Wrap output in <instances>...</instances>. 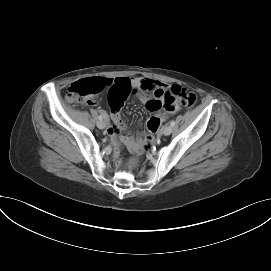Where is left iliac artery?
<instances>
[{"label":"left iliac artery","instance_id":"left-iliac-artery-1","mask_svg":"<svg viewBox=\"0 0 271 271\" xmlns=\"http://www.w3.org/2000/svg\"><path fill=\"white\" fill-rule=\"evenodd\" d=\"M175 124H176V122H175L174 120H172V121L170 122L171 127H174Z\"/></svg>","mask_w":271,"mask_h":271}]
</instances>
